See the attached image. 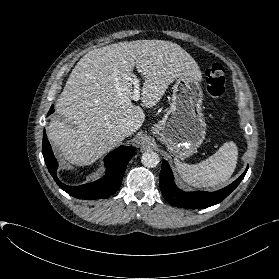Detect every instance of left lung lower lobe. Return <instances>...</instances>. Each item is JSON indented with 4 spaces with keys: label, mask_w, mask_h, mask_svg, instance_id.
Here are the masks:
<instances>
[{
    "label": "left lung lower lobe",
    "mask_w": 279,
    "mask_h": 279,
    "mask_svg": "<svg viewBox=\"0 0 279 279\" xmlns=\"http://www.w3.org/2000/svg\"><path fill=\"white\" fill-rule=\"evenodd\" d=\"M247 170L248 167L238 179L221 190L185 192L176 187L172 171L168 163L163 161L160 172V188L164 198L173 206L186 209L207 208L224 200L239 185Z\"/></svg>",
    "instance_id": "left-lung-lower-lobe-1"
}]
</instances>
